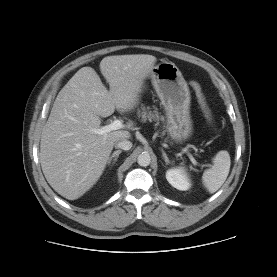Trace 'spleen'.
I'll use <instances>...</instances> for the list:
<instances>
[{
	"mask_svg": "<svg viewBox=\"0 0 277 277\" xmlns=\"http://www.w3.org/2000/svg\"><path fill=\"white\" fill-rule=\"evenodd\" d=\"M230 155L227 151H219L213 159V166L205 170L203 184L210 193L216 192L225 182L230 171Z\"/></svg>",
	"mask_w": 277,
	"mask_h": 277,
	"instance_id": "spleen-1",
	"label": "spleen"
}]
</instances>
